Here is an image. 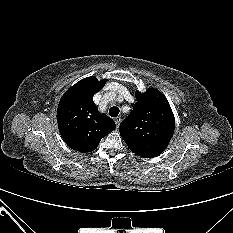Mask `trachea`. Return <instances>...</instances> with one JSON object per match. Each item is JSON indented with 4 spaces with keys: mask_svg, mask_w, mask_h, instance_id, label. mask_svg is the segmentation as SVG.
Segmentation results:
<instances>
[{
    "mask_svg": "<svg viewBox=\"0 0 233 233\" xmlns=\"http://www.w3.org/2000/svg\"><path fill=\"white\" fill-rule=\"evenodd\" d=\"M119 108L117 107V106H113V107H111L110 109H109V115L111 116V117H116V116H118V114H119Z\"/></svg>",
    "mask_w": 233,
    "mask_h": 233,
    "instance_id": "3493384b",
    "label": "trachea"
}]
</instances>
